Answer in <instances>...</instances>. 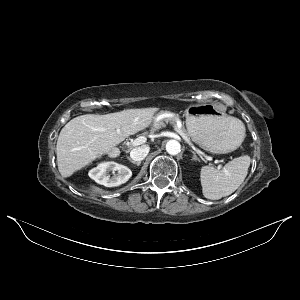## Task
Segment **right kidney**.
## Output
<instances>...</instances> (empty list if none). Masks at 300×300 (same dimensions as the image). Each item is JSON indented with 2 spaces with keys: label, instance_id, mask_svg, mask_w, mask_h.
<instances>
[{
  "label": "right kidney",
  "instance_id": "obj_1",
  "mask_svg": "<svg viewBox=\"0 0 300 300\" xmlns=\"http://www.w3.org/2000/svg\"><path fill=\"white\" fill-rule=\"evenodd\" d=\"M112 172V176L109 175ZM89 177L106 187L119 186L132 176L131 170L116 162H103L89 171Z\"/></svg>",
  "mask_w": 300,
  "mask_h": 300
}]
</instances>
